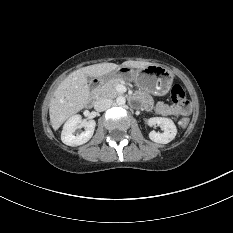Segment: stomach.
Listing matches in <instances>:
<instances>
[{
	"label": "stomach",
	"instance_id": "obj_1",
	"mask_svg": "<svg viewBox=\"0 0 233 233\" xmlns=\"http://www.w3.org/2000/svg\"><path fill=\"white\" fill-rule=\"evenodd\" d=\"M174 75L167 68L151 64L134 71L128 66H119L117 69L99 77L100 82L111 79L134 80L141 89L156 95L163 96L171 88Z\"/></svg>",
	"mask_w": 233,
	"mask_h": 233
}]
</instances>
